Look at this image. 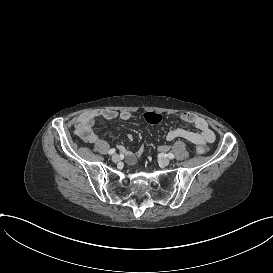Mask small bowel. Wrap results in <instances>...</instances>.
Here are the masks:
<instances>
[{
  "label": "small bowel",
  "mask_w": 273,
  "mask_h": 273,
  "mask_svg": "<svg viewBox=\"0 0 273 273\" xmlns=\"http://www.w3.org/2000/svg\"><path fill=\"white\" fill-rule=\"evenodd\" d=\"M86 114L79 116L74 125V137L78 141H83L86 145L93 146L101 155H106L110 151L108 143L103 142L95 130L91 126L94 125L95 120H115L129 121L132 117L129 111H115V110H100L84 112ZM181 119L193 125L197 131H191L184 128H174L169 130L165 137L168 141L176 139H184L196 146L199 153H205L208 150V145L215 140V133L211 129L209 123L202 117L193 113H184L181 115ZM129 139L132 136L129 135ZM125 160L127 164L134 165L139 160L134 151L126 153Z\"/></svg>",
  "instance_id": "c3829d8e"
}]
</instances>
